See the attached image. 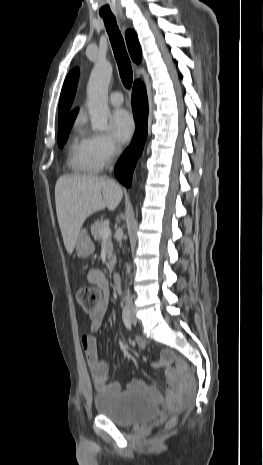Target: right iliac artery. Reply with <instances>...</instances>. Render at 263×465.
Here are the masks:
<instances>
[{"label": "right iliac artery", "instance_id": "obj_1", "mask_svg": "<svg viewBox=\"0 0 263 465\" xmlns=\"http://www.w3.org/2000/svg\"><path fill=\"white\" fill-rule=\"evenodd\" d=\"M122 319H123V322L126 328L131 330L132 326H131V319H130V310L127 306L123 308Z\"/></svg>", "mask_w": 263, "mask_h": 465}]
</instances>
